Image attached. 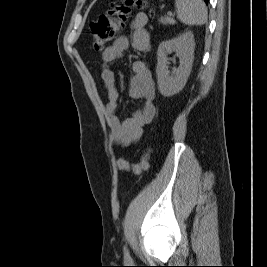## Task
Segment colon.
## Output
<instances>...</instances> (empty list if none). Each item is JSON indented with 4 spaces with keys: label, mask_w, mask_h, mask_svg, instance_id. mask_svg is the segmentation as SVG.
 Listing matches in <instances>:
<instances>
[{
    "label": "colon",
    "mask_w": 267,
    "mask_h": 267,
    "mask_svg": "<svg viewBox=\"0 0 267 267\" xmlns=\"http://www.w3.org/2000/svg\"><path fill=\"white\" fill-rule=\"evenodd\" d=\"M138 0H126L122 4H113L108 13L99 16L91 22L93 45L97 51H102L120 31L124 21L130 14L132 7L141 5ZM149 151H146L138 163H130L125 159H118L117 166L122 171L141 174L148 168Z\"/></svg>",
    "instance_id": "1"
}]
</instances>
